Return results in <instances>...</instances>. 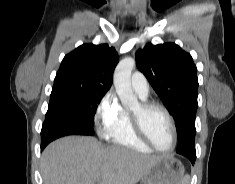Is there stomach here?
Masks as SVG:
<instances>
[{
    "instance_id": "obj_1",
    "label": "stomach",
    "mask_w": 235,
    "mask_h": 184,
    "mask_svg": "<svg viewBox=\"0 0 235 184\" xmlns=\"http://www.w3.org/2000/svg\"><path fill=\"white\" fill-rule=\"evenodd\" d=\"M184 172V166L179 160L162 158L151 166L149 172L143 176L141 184H181Z\"/></svg>"
}]
</instances>
